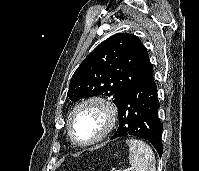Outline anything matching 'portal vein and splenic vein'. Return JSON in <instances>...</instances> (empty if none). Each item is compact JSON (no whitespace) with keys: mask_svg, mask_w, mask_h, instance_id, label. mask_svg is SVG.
<instances>
[{"mask_svg":"<svg viewBox=\"0 0 199 171\" xmlns=\"http://www.w3.org/2000/svg\"><path fill=\"white\" fill-rule=\"evenodd\" d=\"M132 170V167L126 168V169H122V170H118V171H130Z\"/></svg>","mask_w":199,"mask_h":171,"instance_id":"1","label":"portal vein and splenic vein"}]
</instances>
